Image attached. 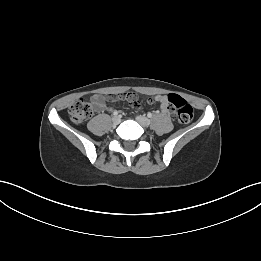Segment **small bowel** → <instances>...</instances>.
<instances>
[{
	"label": "small bowel",
	"mask_w": 261,
	"mask_h": 261,
	"mask_svg": "<svg viewBox=\"0 0 261 261\" xmlns=\"http://www.w3.org/2000/svg\"><path fill=\"white\" fill-rule=\"evenodd\" d=\"M165 96L158 95L154 96H145L144 94H138L133 91L125 92L123 94V99L127 101V103L132 104L133 106L140 105H150L155 106L157 101L160 102V109L162 113H169L168 105L164 99ZM120 99V96L114 98V101ZM108 100H111V97H108ZM91 106L94 111L102 112L106 109L105 99L101 95H93L90 100Z\"/></svg>",
	"instance_id": "obj_1"
}]
</instances>
